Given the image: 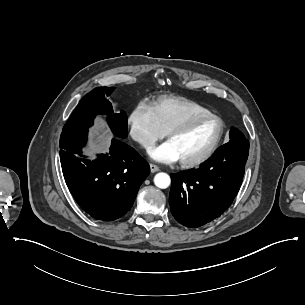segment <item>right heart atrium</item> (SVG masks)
<instances>
[{
    "label": "right heart atrium",
    "instance_id": "obj_1",
    "mask_svg": "<svg viewBox=\"0 0 305 305\" xmlns=\"http://www.w3.org/2000/svg\"><path fill=\"white\" fill-rule=\"evenodd\" d=\"M130 138L145 149L153 147L155 142L164 136L151 105L138 103L126 118Z\"/></svg>",
    "mask_w": 305,
    "mask_h": 305
}]
</instances>
